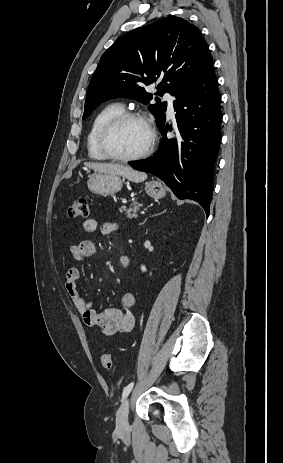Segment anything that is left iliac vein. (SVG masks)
<instances>
[{
  "label": "left iliac vein",
  "mask_w": 283,
  "mask_h": 463,
  "mask_svg": "<svg viewBox=\"0 0 283 463\" xmlns=\"http://www.w3.org/2000/svg\"><path fill=\"white\" fill-rule=\"evenodd\" d=\"M128 413H129V399L126 398L117 411L116 424L119 431H124L128 428Z\"/></svg>",
  "instance_id": "left-iliac-vein-1"
}]
</instances>
